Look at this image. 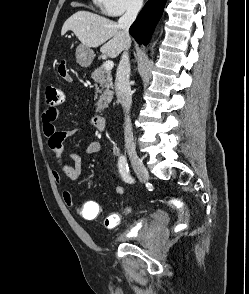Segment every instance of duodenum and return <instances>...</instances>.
<instances>
[{
    "instance_id": "410a0bca",
    "label": "duodenum",
    "mask_w": 249,
    "mask_h": 294,
    "mask_svg": "<svg viewBox=\"0 0 249 294\" xmlns=\"http://www.w3.org/2000/svg\"><path fill=\"white\" fill-rule=\"evenodd\" d=\"M91 124L98 131H103L106 125V119L102 115H94L91 118Z\"/></svg>"
}]
</instances>
